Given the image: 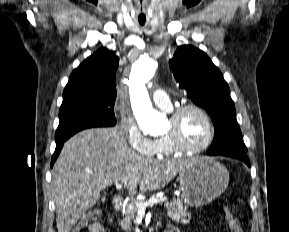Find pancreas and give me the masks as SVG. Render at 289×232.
<instances>
[{
	"label": "pancreas",
	"mask_w": 289,
	"mask_h": 232,
	"mask_svg": "<svg viewBox=\"0 0 289 232\" xmlns=\"http://www.w3.org/2000/svg\"><path fill=\"white\" fill-rule=\"evenodd\" d=\"M165 207L167 208L169 218L174 222L186 224L190 221L191 213L187 212V206H184L179 199H173L171 202L165 203ZM137 211L138 207L135 203L127 205L126 209L123 211V219L120 221L123 230H131L132 223L137 216Z\"/></svg>",
	"instance_id": "obj_1"
}]
</instances>
